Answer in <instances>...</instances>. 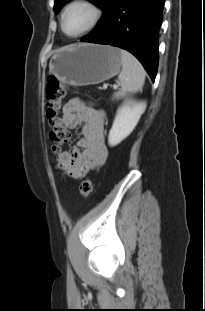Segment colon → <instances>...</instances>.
I'll use <instances>...</instances> for the list:
<instances>
[{
	"mask_svg": "<svg viewBox=\"0 0 205 311\" xmlns=\"http://www.w3.org/2000/svg\"><path fill=\"white\" fill-rule=\"evenodd\" d=\"M66 87L56 77H48L46 82V122L49 128V140L54 152H59L68 142L70 135L64 129L63 121L60 117L62 101L65 96ZM92 191L90 178H85L80 186L81 197H88Z\"/></svg>",
	"mask_w": 205,
	"mask_h": 311,
	"instance_id": "colon-1",
	"label": "colon"
}]
</instances>
